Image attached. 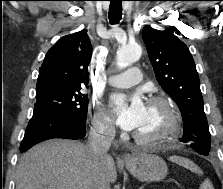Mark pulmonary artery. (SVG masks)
Here are the masks:
<instances>
[{"mask_svg":"<svg viewBox=\"0 0 223 189\" xmlns=\"http://www.w3.org/2000/svg\"><path fill=\"white\" fill-rule=\"evenodd\" d=\"M141 78V70L137 67H133L127 72L110 76L108 78V83L115 87L127 88L138 84Z\"/></svg>","mask_w":223,"mask_h":189,"instance_id":"1","label":"pulmonary artery"}]
</instances>
